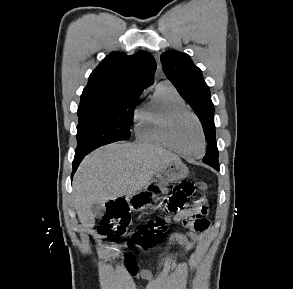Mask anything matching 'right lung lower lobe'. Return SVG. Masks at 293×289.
Listing matches in <instances>:
<instances>
[{
	"instance_id": "obj_1",
	"label": "right lung lower lobe",
	"mask_w": 293,
	"mask_h": 289,
	"mask_svg": "<svg viewBox=\"0 0 293 289\" xmlns=\"http://www.w3.org/2000/svg\"><path fill=\"white\" fill-rule=\"evenodd\" d=\"M90 151H84V152H76L75 153V158H74V161H73V173L72 175L74 174V172L76 171L78 165L80 164V162L82 161V159L84 158V156L86 154H88Z\"/></svg>"
}]
</instances>
